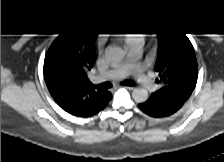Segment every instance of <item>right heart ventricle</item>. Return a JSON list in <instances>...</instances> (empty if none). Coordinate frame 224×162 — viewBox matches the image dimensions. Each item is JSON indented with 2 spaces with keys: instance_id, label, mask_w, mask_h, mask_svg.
I'll list each match as a JSON object with an SVG mask.
<instances>
[{
  "instance_id": "e07e8e85",
  "label": "right heart ventricle",
  "mask_w": 224,
  "mask_h": 162,
  "mask_svg": "<svg viewBox=\"0 0 224 162\" xmlns=\"http://www.w3.org/2000/svg\"><path fill=\"white\" fill-rule=\"evenodd\" d=\"M130 42H134L136 39L134 37V35H131V37L128 39Z\"/></svg>"
}]
</instances>
